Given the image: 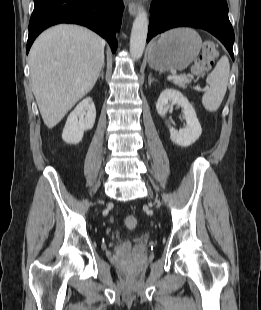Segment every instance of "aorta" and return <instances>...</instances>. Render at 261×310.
Instances as JSON below:
<instances>
[{
  "label": "aorta",
  "instance_id": "762f6f07",
  "mask_svg": "<svg viewBox=\"0 0 261 310\" xmlns=\"http://www.w3.org/2000/svg\"><path fill=\"white\" fill-rule=\"evenodd\" d=\"M148 33V16L145 10L136 16L130 37V53L133 59H140L143 55Z\"/></svg>",
  "mask_w": 261,
  "mask_h": 310
}]
</instances>
